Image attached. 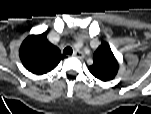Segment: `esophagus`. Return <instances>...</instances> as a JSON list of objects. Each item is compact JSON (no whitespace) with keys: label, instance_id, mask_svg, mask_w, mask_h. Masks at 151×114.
Segmentation results:
<instances>
[{"label":"esophagus","instance_id":"esophagus-1","mask_svg":"<svg viewBox=\"0 0 151 114\" xmlns=\"http://www.w3.org/2000/svg\"><path fill=\"white\" fill-rule=\"evenodd\" d=\"M73 56L77 57L79 59H83L84 58V53L82 51H80V50H75L73 52Z\"/></svg>","mask_w":151,"mask_h":114}]
</instances>
